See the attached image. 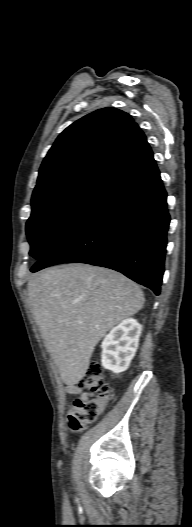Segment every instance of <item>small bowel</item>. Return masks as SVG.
I'll use <instances>...</instances> for the list:
<instances>
[{"instance_id": "1", "label": "small bowel", "mask_w": 192, "mask_h": 527, "mask_svg": "<svg viewBox=\"0 0 192 527\" xmlns=\"http://www.w3.org/2000/svg\"><path fill=\"white\" fill-rule=\"evenodd\" d=\"M68 391L70 393H73V394H80V397L83 398V399H88L89 398V394L87 393H81L80 392V389L74 385H71L68 387Z\"/></svg>"}]
</instances>
